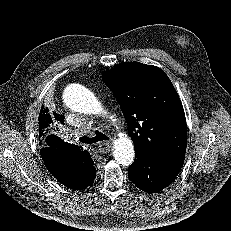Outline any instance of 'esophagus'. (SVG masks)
<instances>
[{
    "label": "esophagus",
    "mask_w": 231,
    "mask_h": 231,
    "mask_svg": "<svg viewBox=\"0 0 231 231\" xmlns=\"http://www.w3.org/2000/svg\"><path fill=\"white\" fill-rule=\"evenodd\" d=\"M111 148V143L106 141V142H100L98 144V151L100 153H107Z\"/></svg>",
    "instance_id": "1"
}]
</instances>
